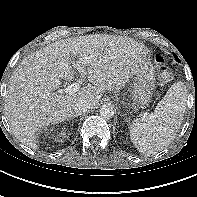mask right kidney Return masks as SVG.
I'll list each match as a JSON object with an SVG mask.
<instances>
[{"label":"right kidney","mask_w":197,"mask_h":197,"mask_svg":"<svg viewBox=\"0 0 197 197\" xmlns=\"http://www.w3.org/2000/svg\"><path fill=\"white\" fill-rule=\"evenodd\" d=\"M58 136L59 137H65L66 136V134H65V132H64L63 129L60 131V133L58 134Z\"/></svg>","instance_id":"ca27d5eb"}]
</instances>
